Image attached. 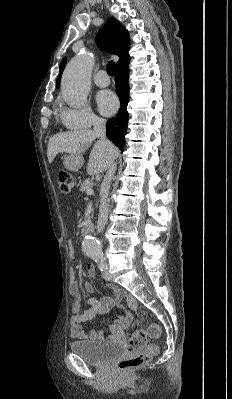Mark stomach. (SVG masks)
<instances>
[{
	"instance_id": "1",
	"label": "stomach",
	"mask_w": 232,
	"mask_h": 399,
	"mask_svg": "<svg viewBox=\"0 0 232 399\" xmlns=\"http://www.w3.org/2000/svg\"><path fill=\"white\" fill-rule=\"evenodd\" d=\"M62 164L69 172H78L82 164H84V158L81 154H70V156L64 158Z\"/></svg>"
}]
</instances>
